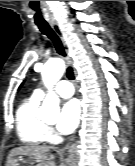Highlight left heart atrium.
<instances>
[{
  "label": "left heart atrium",
  "instance_id": "39dd6f15",
  "mask_svg": "<svg viewBox=\"0 0 135 166\" xmlns=\"http://www.w3.org/2000/svg\"><path fill=\"white\" fill-rule=\"evenodd\" d=\"M80 118V106L76 99L66 101L57 120V129L62 134H69L75 130Z\"/></svg>",
  "mask_w": 135,
  "mask_h": 166
}]
</instances>
